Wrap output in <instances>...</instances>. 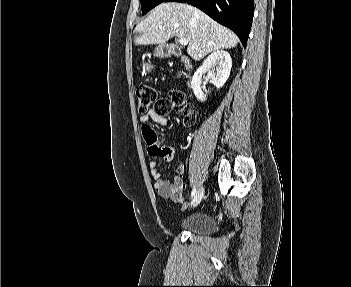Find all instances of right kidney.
Returning a JSON list of instances; mask_svg holds the SVG:
<instances>
[{
	"instance_id": "obj_1",
	"label": "right kidney",
	"mask_w": 351,
	"mask_h": 287,
	"mask_svg": "<svg viewBox=\"0 0 351 287\" xmlns=\"http://www.w3.org/2000/svg\"><path fill=\"white\" fill-rule=\"evenodd\" d=\"M231 67L232 59L227 51L218 50L211 53L193 75L191 86L196 98L200 101L206 100V95L201 89L203 74H207L214 86L221 88L229 78Z\"/></svg>"
}]
</instances>
